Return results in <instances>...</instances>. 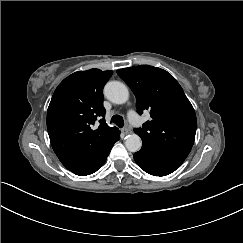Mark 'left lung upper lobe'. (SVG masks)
Listing matches in <instances>:
<instances>
[{
  "label": "left lung upper lobe",
  "mask_w": 243,
  "mask_h": 243,
  "mask_svg": "<svg viewBox=\"0 0 243 243\" xmlns=\"http://www.w3.org/2000/svg\"><path fill=\"white\" fill-rule=\"evenodd\" d=\"M117 73L135 94L138 112H150L152 120L134 130L142 144L186 158L194 143L197 120L176 79L167 71L149 65L119 69Z\"/></svg>",
  "instance_id": "1"
}]
</instances>
